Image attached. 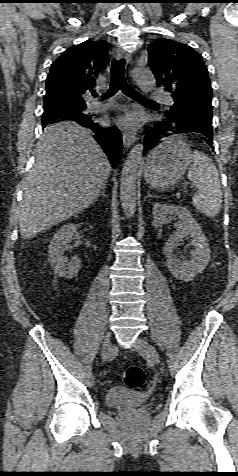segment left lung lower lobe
<instances>
[{
  "instance_id": "0a47b994",
  "label": "left lung lower lobe",
  "mask_w": 238,
  "mask_h": 476,
  "mask_svg": "<svg viewBox=\"0 0 238 476\" xmlns=\"http://www.w3.org/2000/svg\"><path fill=\"white\" fill-rule=\"evenodd\" d=\"M189 132L201 134V139L214 150L212 116L161 111L160 120L147 133L144 139V151L155 148L162 138Z\"/></svg>"
}]
</instances>
